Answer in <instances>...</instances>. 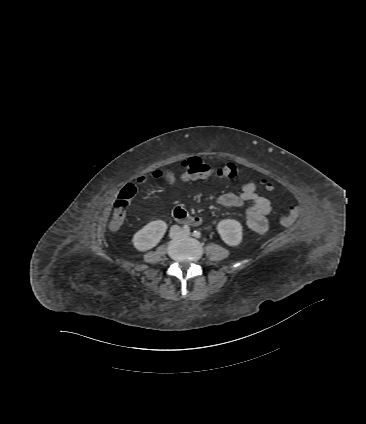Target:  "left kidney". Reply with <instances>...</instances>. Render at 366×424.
<instances>
[{
    "instance_id": "obj_1",
    "label": "left kidney",
    "mask_w": 366,
    "mask_h": 424,
    "mask_svg": "<svg viewBox=\"0 0 366 424\" xmlns=\"http://www.w3.org/2000/svg\"><path fill=\"white\" fill-rule=\"evenodd\" d=\"M217 231L221 239L229 246H237L242 241V225L234 219H225L218 223Z\"/></svg>"
}]
</instances>
